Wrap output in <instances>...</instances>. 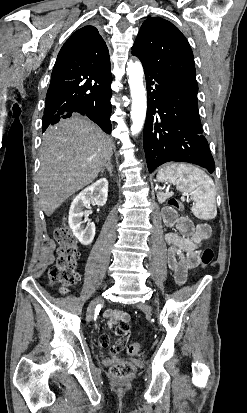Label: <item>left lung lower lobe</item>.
<instances>
[{"label": "left lung lower lobe", "instance_id": "0a47b994", "mask_svg": "<svg viewBox=\"0 0 247 413\" xmlns=\"http://www.w3.org/2000/svg\"><path fill=\"white\" fill-rule=\"evenodd\" d=\"M147 116L144 150L148 169L180 161L214 172L215 163L198 113L197 92L144 65Z\"/></svg>", "mask_w": 247, "mask_h": 413}]
</instances>
